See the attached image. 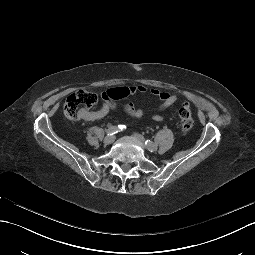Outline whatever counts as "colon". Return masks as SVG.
I'll return each instance as SVG.
<instances>
[{"mask_svg":"<svg viewBox=\"0 0 255 255\" xmlns=\"http://www.w3.org/2000/svg\"><path fill=\"white\" fill-rule=\"evenodd\" d=\"M131 93L127 87L109 89L104 93V97L109 100H118L127 97ZM97 102V96L86 90H79L70 95L64 105L65 116L75 120L92 108ZM178 119L181 130L188 132L193 127V117L189 105H183L178 111Z\"/></svg>","mask_w":255,"mask_h":255,"instance_id":"5ec220e1","label":"colon"}]
</instances>
